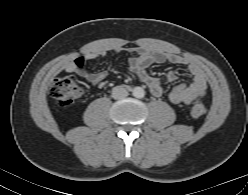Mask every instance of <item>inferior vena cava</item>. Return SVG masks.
Wrapping results in <instances>:
<instances>
[{"label": "inferior vena cava", "mask_w": 248, "mask_h": 195, "mask_svg": "<svg viewBox=\"0 0 248 195\" xmlns=\"http://www.w3.org/2000/svg\"><path fill=\"white\" fill-rule=\"evenodd\" d=\"M127 96L128 92L123 86H116L112 89V97L114 99H123Z\"/></svg>", "instance_id": "obj_1"}]
</instances>
